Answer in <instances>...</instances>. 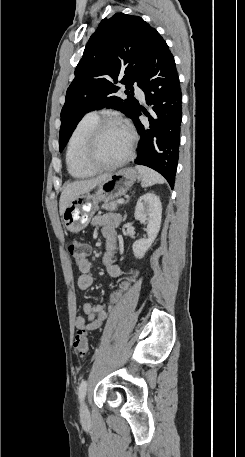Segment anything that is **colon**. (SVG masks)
Segmentation results:
<instances>
[{
    "mask_svg": "<svg viewBox=\"0 0 245 457\" xmlns=\"http://www.w3.org/2000/svg\"><path fill=\"white\" fill-rule=\"evenodd\" d=\"M68 251L75 261L81 262L87 258L90 252L89 246L81 241L73 240L68 244ZM74 349L76 354L85 358L89 354V337L87 330L78 329L74 337Z\"/></svg>",
    "mask_w": 245,
    "mask_h": 457,
    "instance_id": "5ec220e1",
    "label": "colon"
}]
</instances>
